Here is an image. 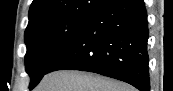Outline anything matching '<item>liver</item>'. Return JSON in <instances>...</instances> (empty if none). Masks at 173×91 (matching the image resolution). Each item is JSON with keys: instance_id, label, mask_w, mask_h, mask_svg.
Listing matches in <instances>:
<instances>
[{"instance_id": "6515ba94", "label": "liver", "mask_w": 173, "mask_h": 91, "mask_svg": "<svg viewBox=\"0 0 173 91\" xmlns=\"http://www.w3.org/2000/svg\"><path fill=\"white\" fill-rule=\"evenodd\" d=\"M34 91H135L124 82L98 74L59 70L46 74Z\"/></svg>"}]
</instances>
